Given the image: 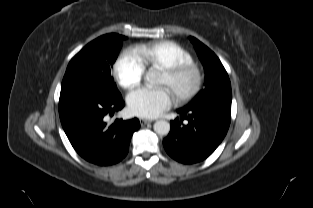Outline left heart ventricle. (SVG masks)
Masks as SVG:
<instances>
[{"label":"left heart ventricle","instance_id":"left-heart-ventricle-1","mask_svg":"<svg viewBox=\"0 0 313 208\" xmlns=\"http://www.w3.org/2000/svg\"><path fill=\"white\" fill-rule=\"evenodd\" d=\"M188 83H189V79H184L181 82V86H186ZM160 84L168 86V78H167V76L164 73L162 74Z\"/></svg>","mask_w":313,"mask_h":208}]
</instances>
